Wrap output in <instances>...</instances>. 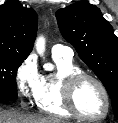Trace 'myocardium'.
<instances>
[{
  "label": "myocardium",
  "mask_w": 118,
  "mask_h": 123,
  "mask_svg": "<svg viewBox=\"0 0 118 123\" xmlns=\"http://www.w3.org/2000/svg\"><path fill=\"white\" fill-rule=\"evenodd\" d=\"M87 79L93 81L100 88L105 99V104H106L105 111L102 115L97 117H90L83 114L79 110L75 102V92L78 84ZM61 90H62L63 104L65 108L72 113L73 116L81 120L90 121V122L100 121L108 116L111 109V99H110L109 92L105 84L93 74L83 71L69 73L65 75L61 80Z\"/></svg>",
  "instance_id": "myocardium-1"
}]
</instances>
